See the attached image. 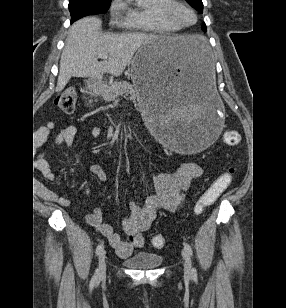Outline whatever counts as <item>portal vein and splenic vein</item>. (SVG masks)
<instances>
[{"instance_id":"portal-vein-and-splenic-vein-1","label":"portal vein and splenic vein","mask_w":286,"mask_h":308,"mask_svg":"<svg viewBox=\"0 0 286 308\" xmlns=\"http://www.w3.org/2000/svg\"><path fill=\"white\" fill-rule=\"evenodd\" d=\"M99 58L107 59L108 58V54L107 53H101V54H99Z\"/></svg>"}]
</instances>
